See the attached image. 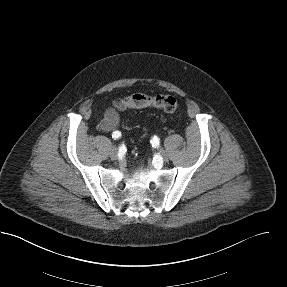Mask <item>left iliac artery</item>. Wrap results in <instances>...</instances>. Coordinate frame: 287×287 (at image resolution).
<instances>
[{"mask_svg":"<svg viewBox=\"0 0 287 287\" xmlns=\"http://www.w3.org/2000/svg\"><path fill=\"white\" fill-rule=\"evenodd\" d=\"M150 142L152 143L153 147H159L160 142H159V138L157 136H154Z\"/></svg>","mask_w":287,"mask_h":287,"instance_id":"left-iliac-artery-1","label":"left iliac artery"}]
</instances>
